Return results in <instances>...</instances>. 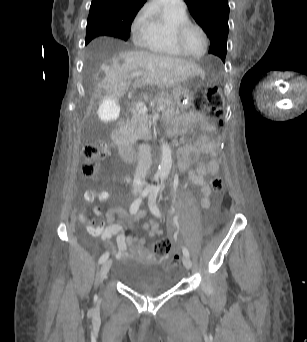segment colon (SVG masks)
I'll return each instance as SVG.
<instances>
[{"label": "colon", "instance_id": "5ec220e1", "mask_svg": "<svg viewBox=\"0 0 307 342\" xmlns=\"http://www.w3.org/2000/svg\"><path fill=\"white\" fill-rule=\"evenodd\" d=\"M224 93L223 87L210 86L206 89L205 97L201 103V109H203L206 115L210 118L220 119L222 116V99L221 94ZM108 144L99 142L97 144L87 143L82 149L85 162L81 166L82 175L95 182L98 181L99 158L107 154ZM209 184L211 189L215 193H222L224 189L223 178L219 174H212L209 178ZM172 251V243L168 238H162L153 245V252L158 257H168ZM171 261L165 264V268L179 264L181 262V256L174 254Z\"/></svg>", "mask_w": 307, "mask_h": 342}]
</instances>
